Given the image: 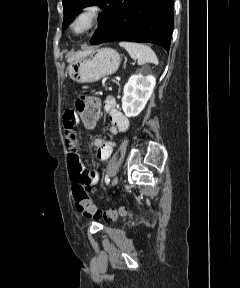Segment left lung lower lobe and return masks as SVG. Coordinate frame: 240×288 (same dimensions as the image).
<instances>
[{"mask_svg":"<svg viewBox=\"0 0 240 288\" xmlns=\"http://www.w3.org/2000/svg\"><path fill=\"white\" fill-rule=\"evenodd\" d=\"M174 0H111L90 43L149 42L170 48Z\"/></svg>","mask_w":240,"mask_h":288,"instance_id":"1","label":"left lung lower lobe"}]
</instances>
